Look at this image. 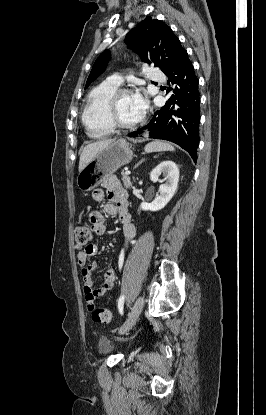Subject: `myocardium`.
<instances>
[{"instance_id": "f54148a6", "label": "myocardium", "mask_w": 266, "mask_h": 415, "mask_svg": "<svg viewBox=\"0 0 266 415\" xmlns=\"http://www.w3.org/2000/svg\"><path fill=\"white\" fill-rule=\"evenodd\" d=\"M126 94H131V91L129 89L126 88H120L117 89L113 95L110 97L109 102H108V117L109 120L111 122V124L113 125V127L115 129L118 130H134L138 127H140L144 121H145V115L142 114L141 118L132 124H126L123 123L118 115H117V102L119 100L120 97H122L123 95Z\"/></svg>"}]
</instances>
